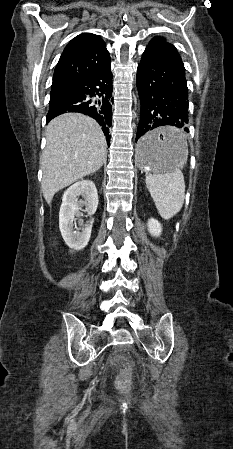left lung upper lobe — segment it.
I'll return each instance as SVG.
<instances>
[{
    "label": "left lung upper lobe",
    "instance_id": "obj_1",
    "mask_svg": "<svg viewBox=\"0 0 233 449\" xmlns=\"http://www.w3.org/2000/svg\"><path fill=\"white\" fill-rule=\"evenodd\" d=\"M147 48L158 53L166 60L174 64H177L178 66L185 69L181 57L178 54L176 48L172 44L166 42L165 38L158 36L153 37L152 40L147 45Z\"/></svg>",
    "mask_w": 233,
    "mask_h": 449
}]
</instances>
